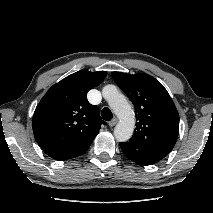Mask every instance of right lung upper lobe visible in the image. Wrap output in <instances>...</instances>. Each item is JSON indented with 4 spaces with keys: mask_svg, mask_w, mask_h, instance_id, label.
<instances>
[{
    "mask_svg": "<svg viewBox=\"0 0 213 213\" xmlns=\"http://www.w3.org/2000/svg\"><path fill=\"white\" fill-rule=\"evenodd\" d=\"M107 72H75L53 85L37 105L34 137L42 150L56 160H67L87 151L102 124L99 108L87 100Z\"/></svg>",
    "mask_w": 213,
    "mask_h": 213,
    "instance_id": "cb5924a9",
    "label": "right lung upper lobe"
}]
</instances>
